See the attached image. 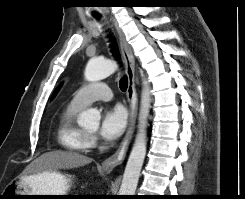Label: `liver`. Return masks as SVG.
I'll use <instances>...</instances> for the list:
<instances>
[{
    "label": "liver",
    "instance_id": "obj_1",
    "mask_svg": "<svg viewBox=\"0 0 245 199\" xmlns=\"http://www.w3.org/2000/svg\"><path fill=\"white\" fill-rule=\"evenodd\" d=\"M91 162L92 158L79 153L55 150L42 154L37 160L34 161L29 172L32 173L30 176H34L45 171L77 168Z\"/></svg>",
    "mask_w": 245,
    "mask_h": 199
}]
</instances>
